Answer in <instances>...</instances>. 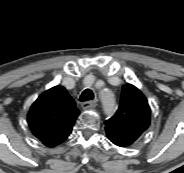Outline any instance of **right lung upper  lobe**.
I'll list each match as a JSON object with an SVG mask.
<instances>
[{
  "label": "right lung upper lobe",
  "mask_w": 184,
  "mask_h": 173,
  "mask_svg": "<svg viewBox=\"0 0 184 173\" xmlns=\"http://www.w3.org/2000/svg\"><path fill=\"white\" fill-rule=\"evenodd\" d=\"M74 100L62 86L41 94L28 113L32 133L47 147L63 143L72 132L79 115Z\"/></svg>",
  "instance_id": "1"
}]
</instances>
